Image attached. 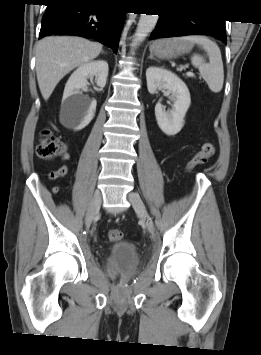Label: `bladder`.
I'll return each mask as SVG.
<instances>
[{
    "label": "bladder",
    "instance_id": "bladder-1",
    "mask_svg": "<svg viewBox=\"0 0 261 355\" xmlns=\"http://www.w3.org/2000/svg\"><path fill=\"white\" fill-rule=\"evenodd\" d=\"M140 262L136 246L129 241H118L110 248L106 258L108 269L117 275H132Z\"/></svg>",
    "mask_w": 261,
    "mask_h": 355
}]
</instances>
